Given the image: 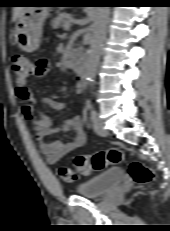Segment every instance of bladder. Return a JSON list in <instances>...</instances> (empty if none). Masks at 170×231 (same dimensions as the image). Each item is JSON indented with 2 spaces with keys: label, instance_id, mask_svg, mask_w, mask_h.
<instances>
[{
  "label": "bladder",
  "instance_id": "obj_1",
  "mask_svg": "<svg viewBox=\"0 0 170 231\" xmlns=\"http://www.w3.org/2000/svg\"><path fill=\"white\" fill-rule=\"evenodd\" d=\"M124 178L125 171L123 168H111L77 186L76 192L86 198H98L108 194Z\"/></svg>",
  "mask_w": 170,
  "mask_h": 231
}]
</instances>
